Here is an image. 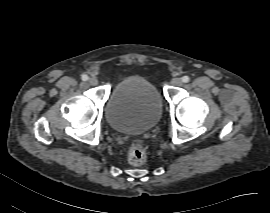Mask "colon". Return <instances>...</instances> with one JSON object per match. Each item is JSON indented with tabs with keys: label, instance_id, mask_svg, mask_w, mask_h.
<instances>
[{
	"label": "colon",
	"instance_id": "1",
	"mask_svg": "<svg viewBox=\"0 0 270 213\" xmlns=\"http://www.w3.org/2000/svg\"><path fill=\"white\" fill-rule=\"evenodd\" d=\"M146 159V148L140 141L130 143L126 151V160L132 165H140Z\"/></svg>",
	"mask_w": 270,
	"mask_h": 213
}]
</instances>
